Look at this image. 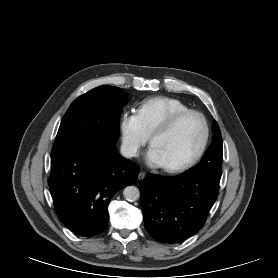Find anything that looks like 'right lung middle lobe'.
Returning a JSON list of instances; mask_svg holds the SVG:
<instances>
[{
    "label": "right lung middle lobe",
    "instance_id": "dd1d6c3e",
    "mask_svg": "<svg viewBox=\"0 0 278 278\" xmlns=\"http://www.w3.org/2000/svg\"><path fill=\"white\" fill-rule=\"evenodd\" d=\"M127 102L128 95L114 86H100L79 96L63 117L52 152L94 141L116 142Z\"/></svg>",
    "mask_w": 278,
    "mask_h": 278
}]
</instances>
